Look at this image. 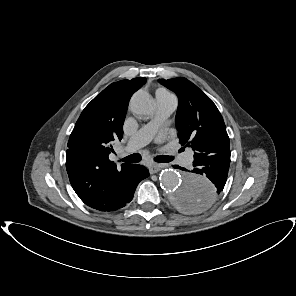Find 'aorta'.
Segmentation results:
<instances>
[{
	"label": "aorta",
	"mask_w": 296,
	"mask_h": 296,
	"mask_svg": "<svg viewBox=\"0 0 296 296\" xmlns=\"http://www.w3.org/2000/svg\"><path fill=\"white\" fill-rule=\"evenodd\" d=\"M131 110L139 116H147L152 110V98L145 91L136 92L130 101ZM160 184L167 201L185 212H205L218 199V188L208 176L188 170L161 172Z\"/></svg>",
	"instance_id": "aorta-1"
}]
</instances>
